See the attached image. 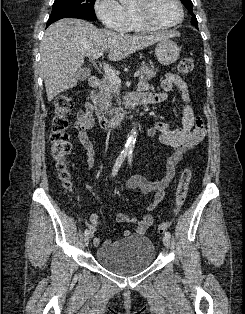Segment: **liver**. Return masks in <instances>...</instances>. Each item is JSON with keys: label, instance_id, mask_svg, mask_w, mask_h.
I'll return each instance as SVG.
<instances>
[{"label": "liver", "instance_id": "liver-1", "mask_svg": "<svg viewBox=\"0 0 245 314\" xmlns=\"http://www.w3.org/2000/svg\"><path fill=\"white\" fill-rule=\"evenodd\" d=\"M179 35L177 32L128 35L98 29L80 19H61L47 28L40 44V67L47 99L50 102L61 92L76 86V73L85 57L108 50V58L119 61L135 51Z\"/></svg>", "mask_w": 245, "mask_h": 314}]
</instances>
